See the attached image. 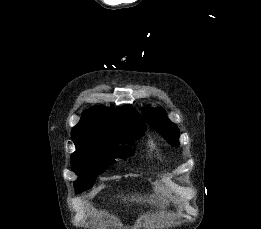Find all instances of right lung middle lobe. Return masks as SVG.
<instances>
[{
    "label": "right lung middle lobe",
    "mask_w": 261,
    "mask_h": 229,
    "mask_svg": "<svg viewBox=\"0 0 261 229\" xmlns=\"http://www.w3.org/2000/svg\"><path fill=\"white\" fill-rule=\"evenodd\" d=\"M145 131L146 126L135 124L117 129V133L124 143H131L141 138ZM133 153L129 148L122 146L86 145L76 147V151L71 156L72 169L79 175V178L74 182L75 192L78 194L91 188L96 177L103 173L110 163H114L115 158H127Z\"/></svg>",
    "instance_id": "right-lung-middle-lobe-1"
}]
</instances>
